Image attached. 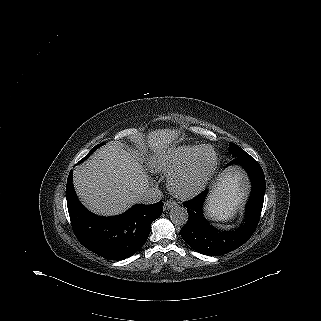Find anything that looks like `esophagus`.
<instances>
[{"mask_svg": "<svg viewBox=\"0 0 321 321\" xmlns=\"http://www.w3.org/2000/svg\"><path fill=\"white\" fill-rule=\"evenodd\" d=\"M177 206V203L175 201L168 200L164 203V209L169 210L173 207Z\"/></svg>", "mask_w": 321, "mask_h": 321, "instance_id": "1", "label": "esophagus"}]
</instances>
